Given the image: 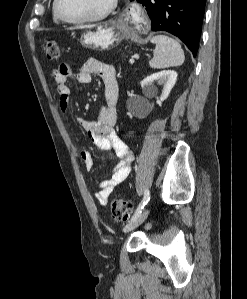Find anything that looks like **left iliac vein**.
I'll return each mask as SVG.
<instances>
[{"label":"left iliac vein","instance_id":"obj_1","mask_svg":"<svg viewBox=\"0 0 247 299\" xmlns=\"http://www.w3.org/2000/svg\"><path fill=\"white\" fill-rule=\"evenodd\" d=\"M149 209H145L136 219L131 220L124 228V232H130L141 225L148 217Z\"/></svg>","mask_w":247,"mask_h":299}]
</instances>
